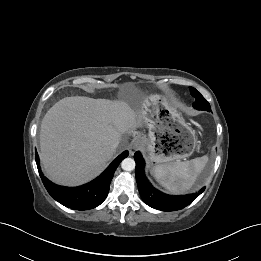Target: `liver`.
<instances>
[{
  "label": "liver",
  "instance_id": "6515ba94",
  "mask_svg": "<svg viewBox=\"0 0 261 261\" xmlns=\"http://www.w3.org/2000/svg\"><path fill=\"white\" fill-rule=\"evenodd\" d=\"M146 106L147 100H59L45 114L40 130V158L48 178L76 186L98 176L116 152L113 143L146 125Z\"/></svg>",
  "mask_w": 261,
  "mask_h": 261
}]
</instances>
